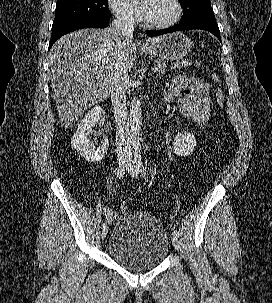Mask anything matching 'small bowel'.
<instances>
[{"mask_svg": "<svg viewBox=\"0 0 272 303\" xmlns=\"http://www.w3.org/2000/svg\"><path fill=\"white\" fill-rule=\"evenodd\" d=\"M177 98L181 113L194 121L199 127H205L210 120L211 87L196 77L177 75L166 91Z\"/></svg>", "mask_w": 272, "mask_h": 303, "instance_id": "small-bowel-1", "label": "small bowel"}]
</instances>
